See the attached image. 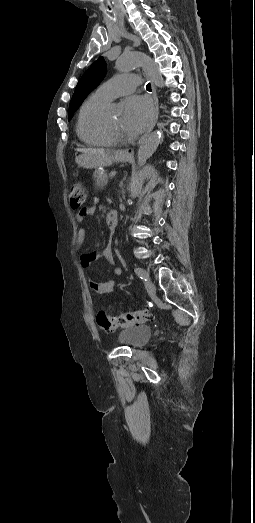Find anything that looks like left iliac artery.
<instances>
[{
	"instance_id": "1",
	"label": "left iliac artery",
	"mask_w": 255,
	"mask_h": 523,
	"mask_svg": "<svg viewBox=\"0 0 255 523\" xmlns=\"http://www.w3.org/2000/svg\"><path fill=\"white\" fill-rule=\"evenodd\" d=\"M134 271L142 280L146 281L145 271L142 268L136 267Z\"/></svg>"
}]
</instances>
